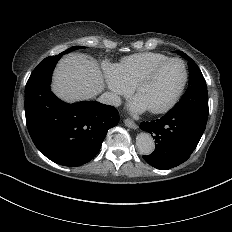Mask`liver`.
Wrapping results in <instances>:
<instances>
[{
    "label": "liver",
    "instance_id": "1",
    "mask_svg": "<svg viewBox=\"0 0 232 232\" xmlns=\"http://www.w3.org/2000/svg\"><path fill=\"white\" fill-rule=\"evenodd\" d=\"M104 89V79L96 60L71 53L57 65L52 90L68 102L95 98Z\"/></svg>",
    "mask_w": 232,
    "mask_h": 232
}]
</instances>
